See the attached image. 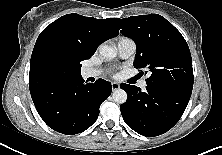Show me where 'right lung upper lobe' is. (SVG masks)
<instances>
[{
	"label": "right lung upper lobe",
	"instance_id": "cb5924a9",
	"mask_svg": "<svg viewBox=\"0 0 222 155\" xmlns=\"http://www.w3.org/2000/svg\"><path fill=\"white\" fill-rule=\"evenodd\" d=\"M118 34L115 18L96 19L72 13L52 22L40 33L32 52L30 93L46 91L60 79L71 78L50 56V48L55 41L66 42L70 50L84 60L89 59L101 43Z\"/></svg>",
	"mask_w": 222,
	"mask_h": 155
}]
</instances>
